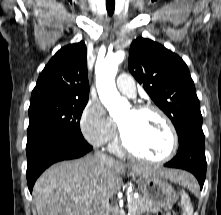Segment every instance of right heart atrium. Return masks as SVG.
I'll return each mask as SVG.
<instances>
[{"instance_id": "d8ad5b80", "label": "right heart atrium", "mask_w": 221, "mask_h": 215, "mask_svg": "<svg viewBox=\"0 0 221 215\" xmlns=\"http://www.w3.org/2000/svg\"><path fill=\"white\" fill-rule=\"evenodd\" d=\"M80 129L84 138L94 146H105L114 142L117 126L103 105L89 100L80 117Z\"/></svg>"}]
</instances>
